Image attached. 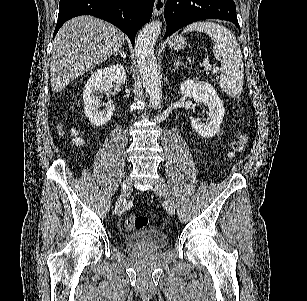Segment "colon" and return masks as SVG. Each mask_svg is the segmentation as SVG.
I'll return each mask as SVG.
<instances>
[{"instance_id": "colon-1", "label": "colon", "mask_w": 307, "mask_h": 301, "mask_svg": "<svg viewBox=\"0 0 307 301\" xmlns=\"http://www.w3.org/2000/svg\"><path fill=\"white\" fill-rule=\"evenodd\" d=\"M245 144H246L245 137H241L240 139H238L233 145V149L230 153L231 156L241 152L244 149ZM147 224H148V218L144 215H130L125 220V227L131 231L142 230L147 226Z\"/></svg>"}]
</instances>
